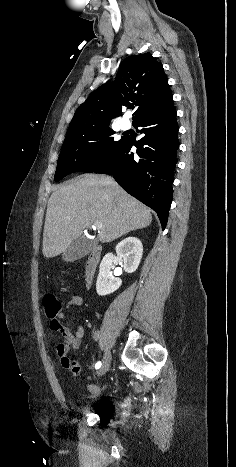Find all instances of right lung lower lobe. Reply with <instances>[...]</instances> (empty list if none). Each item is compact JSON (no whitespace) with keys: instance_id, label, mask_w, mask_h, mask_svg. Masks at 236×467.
<instances>
[{"instance_id":"1","label":"right lung lower lobe","mask_w":236,"mask_h":467,"mask_svg":"<svg viewBox=\"0 0 236 467\" xmlns=\"http://www.w3.org/2000/svg\"><path fill=\"white\" fill-rule=\"evenodd\" d=\"M133 125L142 127L143 138L134 144L127 137L117 154L93 172L112 174L124 190L157 213L164 230L173 198L172 183L179 146L173 98ZM133 145L137 147L136 154L130 152Z\"/></svg>"}]
</instances>
